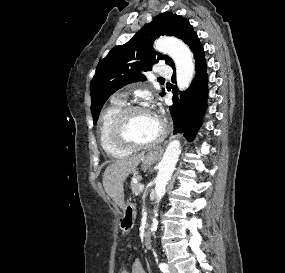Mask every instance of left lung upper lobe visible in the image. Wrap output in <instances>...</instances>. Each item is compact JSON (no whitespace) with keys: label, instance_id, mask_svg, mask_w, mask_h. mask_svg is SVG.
<instances>
[{"label":"left lung upper lobe","instance_id":"left-lung-upper-lobe-1","mask_svg":"<svg viewBox=\"0 0 285 273\" xmlns=\"http://www.w3.org/2000/svg\"><path fill=\"white\" fill-rule=\"evenodd\" d=\"M194 30L183 17L165 12L145 25L126 44L114 47L99 62L90 84L91 112L94 124L106 100L124 85L146 80L143 72L151 70V65L160 59L173 66V60L157 53L152 48L153 41L160 35H173L187 43ZM164 92L160 93L163 96Z\"/></svg>","mask_w":285,"mask_h":273}]
</instances>
